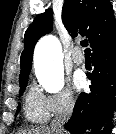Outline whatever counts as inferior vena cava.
<instances>
[{
  "instance_id": "602c4592",
  "label": "inferior vena cava",
  "mask_w": 116,
  "mask_h": 134,
  "mask_svg": "<svg viewBox=\"0 0 116 134\" xmlns=\"http://www.w3.org/2000/svg\"><path fill=\"white\" fill-rule=\"evenodd\" d=\"M73 106L72 102L67 103L56 115L51 124V129L55 132V134H63L64 125L72 114Z\"/></svg>"
}]
</instances>
